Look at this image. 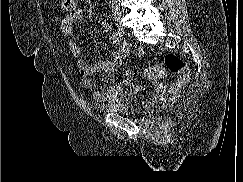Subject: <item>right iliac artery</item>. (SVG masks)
Wrapping results in <instances>:
<instances>
[{"label":"right iliac artery","instance_id":"right-iliac-artery-1","mask_svg":"<svg viewBox=\"0 0 243 182\" xmlns=\"http://www.w3.org/2000/svg\"><path fill=\"white\" fill-rule=\"evenodd\" d=\"M113 34H114V36H115L117 39H122V37H123L122 33H121L120 31H118V30H115V31L113 32Z\"/></svg>","mask_w":243,"mask_h":182}]
</instances>
